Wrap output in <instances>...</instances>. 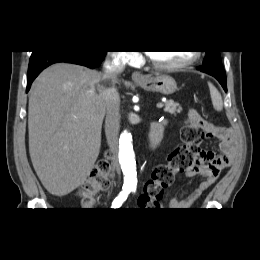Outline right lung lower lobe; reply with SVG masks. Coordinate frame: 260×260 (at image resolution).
<instances>
[{"mask_svg": "<svg viewBox=\"0 0 260 260\" xmlns=\"http://www.w3.org/2000/svg\"><path fill=\"white\" fill-rule=\"evenodd\" d=\"M107 51H33L30 57L28 75H27V89L30 86L38 74L51 64L58 62L74 63L89 68H95L99 66L105 57Z\"/></svg>", "mask_w": 260, "mask_h": 260, "instance_id": "obj_1", "label": "right lung lower lobe"}]
</instances>
